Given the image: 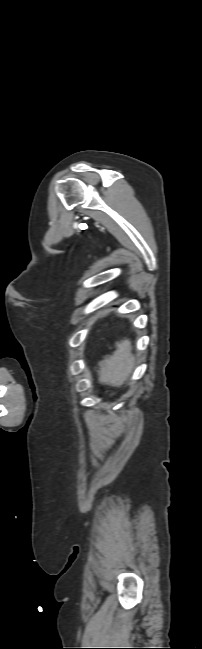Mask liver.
Masks as SVG:
<instances>
[{"mask_svg":"<svg viewBox=\"0 0 202 649\" xmlns=\"http://www.w3.org/2000/svg\"><path fill=\"white\" fill-rule=\"evenodd\" d=\"M116 350L98 363L99 382L112 386H121L128 381L133 369L131 342L128 339L115 344Z\"/></svg>","mask_w":202,"mask_h":649,"instance_id":"6515ba94","label":"liver"}]
</instances>
